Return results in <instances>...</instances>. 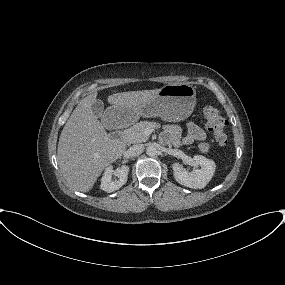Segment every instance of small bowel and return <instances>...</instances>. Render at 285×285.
<instances>
[{
    "label": "small bowel",
    "mask_w": 285,
    "mask_h": 285,
    "mask_svg": "<svg viewBox=\"0 0 285 285\" xmlns=\"http://www.w3.org/2000/svg\"><path fill=\"white\" fill-rule=\"evenodd\" d=\"M205 138V131L194 122L187 124V133L183 138L181 136V129L176 124L165 125L162 137L164 142L172 144L175 147H179L183 144L189 145L195 141H202Z\"/></svg>",
    "instance_id": "c3829d8e"
}]
</instances>
